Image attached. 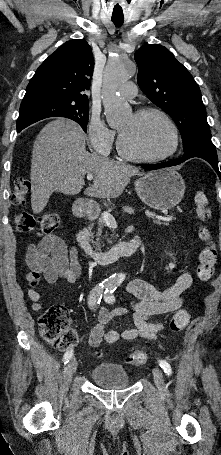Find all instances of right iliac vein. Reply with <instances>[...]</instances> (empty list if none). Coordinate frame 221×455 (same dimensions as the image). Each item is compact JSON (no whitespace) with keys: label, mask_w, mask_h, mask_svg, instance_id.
I'll list each match as a JSON object with an SVG mask.
<instances>
[{"label":"right iliac vein","mask_w":221,"mask_h":455,"mask_svg":"<svg viewBox=\"0 0 221 455\" xmlns=\"http://www.w3.org/2000/svg\"><path fill=\"white\" fill-rule=\"evenodd\" d=\"M77 369V360L75 357L71 358L68 363V370L70 373H75Z\"/></svg>","instance_id":"63e3f726"}]
</instances>
